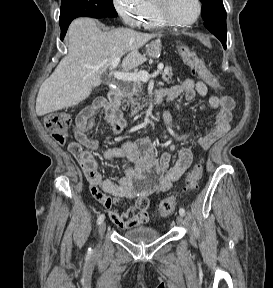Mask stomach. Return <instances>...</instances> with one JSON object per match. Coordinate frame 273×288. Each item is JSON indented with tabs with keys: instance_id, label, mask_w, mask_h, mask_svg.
Returning a JSON list of instances; mask_svg holds the SVG:
<instances>
[{
	"instance_id": "0dacf381",
	"label": "stomach",
	"mask_w": 273,
	"mask_h": 288,
	"mask_svg": "<svg viewBox=\"0 0 273 288\" xmlns=\"http://www.w3.org/2000/svg\"><path fill=\"white\" fill-rule=\"evenodd\" d=\"M161 48H162L161 41L160 39H157L147 45L146 54L151 58H157L161 53Z\"/></svg>"
}]
</instances>
